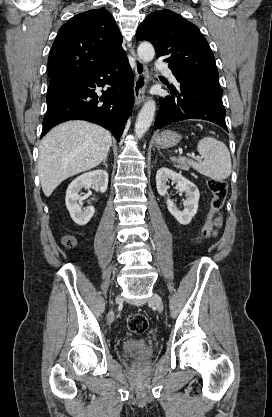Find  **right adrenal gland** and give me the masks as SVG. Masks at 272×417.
<instances>
[{"label":"right adrenal gland","mask_w":272,"mask_h":417,"mask_svg":"<svg viewBox=\"0 0 272 417\" xmlns=\"http://www.w3.org/2000/svg\"><path fill=\"white\" fill-rule=\"evenodd\" d=\"M103 165H105V167L107 168L108 167V165H107V157H105L104 158V160H103V163H102Z\"/></svg>","instance_id":"right-adrenal-gland-1"}]
</instances>
